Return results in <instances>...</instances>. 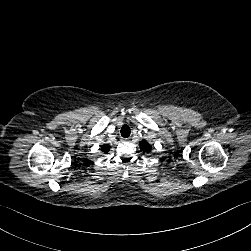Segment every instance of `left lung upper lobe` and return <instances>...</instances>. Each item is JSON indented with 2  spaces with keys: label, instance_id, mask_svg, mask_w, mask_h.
Masks as SVG:
<instances>
[{
  "label": "left lung upper lobe",
  "instance_id": "1",
  "mask_svg": "<svg viewBox=\"0 0 251 251\" xmlns=\"http://www.w3.org/2000/svg\"><path fill=\"white\" fill-rule=\"evenodd\" d=\"M139 146L144 152H149L152 149L151 145L146 140L141 141Z\"/></svg>",
  "mask_w": 251,
  "mask_h": 251
}]
</instances>
